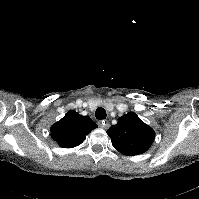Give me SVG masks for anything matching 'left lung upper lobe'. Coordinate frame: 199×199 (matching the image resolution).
I'll list each match as a JSON object with an SVG mask.
<instances>
[{"label": "left lung upper lobe", "mask_w": 199, "mask_h": 199, "mask_svg": "<svg viewBox=\"0 0 199 199\" xmlns=\"http://www.w3.org/2000/svg\"><path fill=\"white\" fill-rule=\"evenodd\" d=\"M107 134L116 150L128 156L146 152L155 137L152 128L134 112L119 117L118 123L112 126Z\"/></svg>", "instance_id": "5c2ea615"}]
</instances>
